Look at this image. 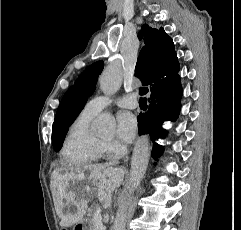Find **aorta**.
<instances>
[{"mask_svg":"<svg viewBox=\"0 0 241 230\" xmlns=\"http://www.w3.org/2000/svg\"><path fill=\"white\" fill-rule=\"evenodd\" d=\"M104 94L116 93L122 84V71L117 66L108 67L99 78ZM116 127L115 118L107 112L101 113L93 124V132L99 136H112ZM149 163V143L146 137L137 140L132 154L129 191L133 192L143 179ZM128 203L123 200L119 205L112 230H126V211Z\"/></svg>","mask_w":241,"mask_h":230,"instance_id":"aorta-1","label":"aorta"}]
</instances>
